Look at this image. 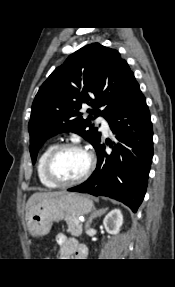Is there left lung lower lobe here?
Listing matches in <instances>:
<instances>
[{
	"instance_id": "0a47b994",
	"label": "left lung lower lobe",
	"mask_w": 175,
	"mask_h": 287,
	"mask_svg": "<svg viewBox=\"0 0 175 287\" xmlns=\"http://www.w3.org/2000/svg\"><path fill=\"white\" fill-rule=\"evenodd\" d=\"M108 122L116 139L109 144L113 152L106 153L100 141L95 148V171L87 181L68 191L107 196L136 212L146 193L153 157L151 116L139 84Z\"/></svg>"
}]
</instances>
